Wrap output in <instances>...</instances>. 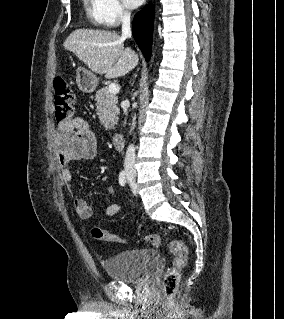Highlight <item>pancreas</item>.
<instances>
[{"instance_id": "pancreas-1", "label": "pancreas", "mask_w": 284, "mask_h": 319, "mask_svg": "<svg viewBox=\"0 0 284 319\" xmlns=\"http://www.w3.org/2000/svg\"><path fill=\"white\" fill-rule=\"evenodd\" d=\"M95 101L100 123L106 130L114 129L119 114L117 107L118 98L114 94L109 93L107 87H104L96 92Z\"/></svg>"}]
</instances>
